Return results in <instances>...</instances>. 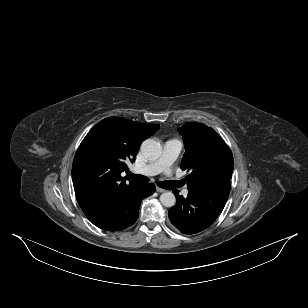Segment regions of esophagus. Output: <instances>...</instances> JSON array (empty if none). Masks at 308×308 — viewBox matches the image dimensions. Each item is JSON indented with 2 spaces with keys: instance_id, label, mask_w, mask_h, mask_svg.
Listing matches in <instances>:
<instances>
[{
  "instance_id": "34e87169",
  "label": "esophagus",
  "mask_w": 308,
  "mask_h": 308,
  "mask_svg": "<svg viewBox=\"0 0 308 308\" xmlns=\"http://www.w3.org/2000/svg\"><path fill=\"white\" fill-rule=\"evenodd\" d=\"M156 191H157L158 193H163V192H165L166 190H165V189H162V188H160V187H156Z\"/></svg>"
}]
</instances>
